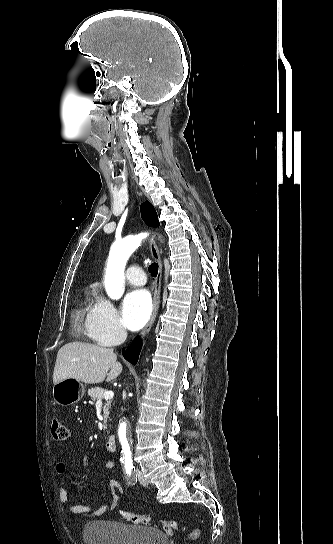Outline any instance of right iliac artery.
<instances>
[{
    "label": "right iliac artery",
    "instance_id": "obj_1",
    "mask_svg": "<svg viewBox=\"0 0 333 544\" xmlns=\"http://www.w3.org/2000/svg\"><path fill=\"white\" fill-rule=\"evenodd\" d=\"M132 470H133V465L132 464H125V472H126L128 477L131 476Z\"/></svg>",
    "mask_w": 333,
    "mask_h": 544
}]
</instances>
